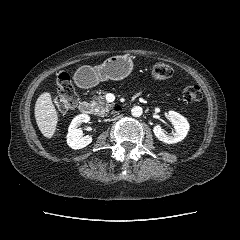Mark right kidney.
Instances as JSON below:
<instances>
[{"instance_id":"right-kidney-1","label":"right kidney","mask_w":240,"mask_h":240,"mask_svg":"<svg viewBox=\"0 0 240 240\" xmlns=\"http://www.w3.org/2000/svg\"><path fill=\"white\" fill-rule=\"evenodd\" d=\"M90 117L87 114L77 115L68 128L67 144L72 149H82L92 142L91 136H82V130L78 128L82 123H88Z\"/></svg>"}]
</instances>
